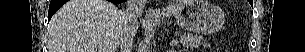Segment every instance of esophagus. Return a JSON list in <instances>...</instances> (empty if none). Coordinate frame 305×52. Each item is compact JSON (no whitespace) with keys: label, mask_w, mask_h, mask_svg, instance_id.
Instances as JSON below:
<instances>
[{"label":"esophagus","mask_w":305,"mask_h":52,"mask_svg":"<svg viewBox=\"0 0 305 52\" xmlns=\"http://www.w3.org/2000/svg\"><path fill=\"white\" fill-rule=\"evenodd\" d=\"M158 17H159V14L152 7H149L146 12L145 18L147 20H155Z\"/></svg>","instance_id":"esophagus-1"}]
</instances>
